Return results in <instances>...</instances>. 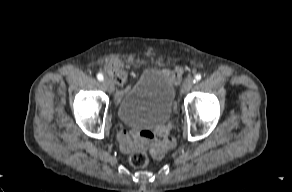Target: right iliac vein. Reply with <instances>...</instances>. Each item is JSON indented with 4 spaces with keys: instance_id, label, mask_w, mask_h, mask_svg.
Masks as SVG:
<instances>
[{
    "instance_id": "right-iliac-vein-1",
    "label": "right iliac vein",
    "mask_w": 292,
    "mask_h": 192,
    "mask_svg": "<svg viewBox=\"0 0 292 192\" xmlns=\"http://www.w3.org/2000/svg\"><path fill=\"white\" fill-rule=\"evenodd\" d=\"M103 86L105 87V89L108 91V92H112L113 91V84L112 82L109 80V79H105L103 81Z\"/></svg>"
}]
</instances>
